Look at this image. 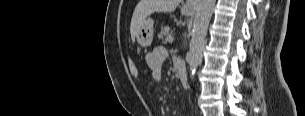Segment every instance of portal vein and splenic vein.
Masks as SVG:
<instances>
[{
	"instance_id": "portal-vein-and-splenic-vein-1",
	"label": "portal vein and splenic vein",
	"mask_w": 305,
	"mask_h": 116,
	"mask_svg": "<svg viewBox=\"0 0 305 116\" xmlns=\"http://www.w3.org/2000/svg\"><path fill=\"white\" fill-rule=\"evenodd\" d=\"M174 40H175V38H174L173 36H170L169 39H168V41H169L170 43H172Z\"/></svg>"
}]
</instances>
